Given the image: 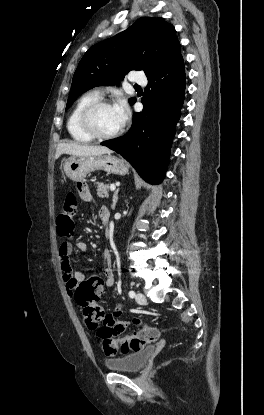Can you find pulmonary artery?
Wrapping results in <instances>:
<instances>
[{
    "mask_svg": "<svg viewBox=\"0 0 264 415\" xmlns=\"http://www.w3.org/2000/svg\"><path fill=\"white\" fill-rule=\"evenodd\" d=\"M131 81L133 83H135L136 85L141 84V83H145L146 77L144 75H141V74L132 75L131 76ZM94 92L99 96L102 95V90L101 89H96Z\"/></svg>",
    "mask_w": 264,
    "mask_h": 415,
    "instance_id": "pulmonary-artery-1",
    "label": "pulmonary artery"
}]
</instances>
